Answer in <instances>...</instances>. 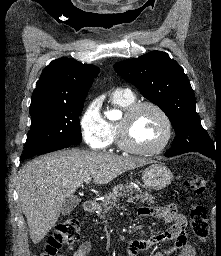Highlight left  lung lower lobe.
I'll use <instances>...</instances> for the list:
<instances>
[{"label": "left lung lower lobe", "instance_id": "obj_1", "mask_svg": "<svg viewBox=\"0 0 221 256\" xmlns=\"http://www.w3.org/2000/svg\"><path fill=\"white\" fill-rule=\"evenodd\" d=\"M186 152H198L209 158L216 160V162L218 163L221 161V153L219 149L216 150L214 146L200 144H195L187 148H170L165 153V156L172 157Z\"/></svg>", "mask_w": 221, "mask_h": 256}]
</instances>
